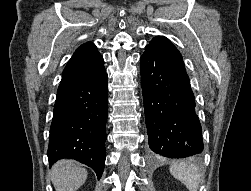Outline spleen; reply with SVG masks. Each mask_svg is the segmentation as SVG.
Instances as JSON below:
<instances>
[{
    "label": "spleen",
    "mask_w": 251,
    "mask_h": 191,
    "mask_svg": "<svg viewBox=\"0 0 251 191\" xmlns=\"http://www.w3.org/2000/svg\"><path fill=\"white\" fill-rule=\"evenodd\" d=\"M169 169L173 177L180 179L189 191H197L201 181V171L195 163L180 161V163H172Z\"/></svg>",
    "instance_id": "spleen-1"
}]
</instances>
